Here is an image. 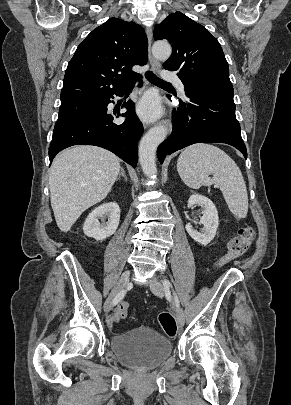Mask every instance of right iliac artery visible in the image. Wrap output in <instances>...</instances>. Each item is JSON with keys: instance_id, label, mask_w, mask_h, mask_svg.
<instances>
[{"instance_id": "right-iliac-artery-1", "label": "right iliac artery", "mask_w": 291, "mask_h": 405, "mask_svg": "<svg viewBox=\"0 0 291 405\" xmlns=\"http://www.w3.org/2000/svg\"><path fill=\"white\" fill-rule=\"evenodd\" d=\"M125 292L122 291L120 292L114 299L113 305H116L119 301H121L124 298Z\"/></svg>"}]
</instances>
